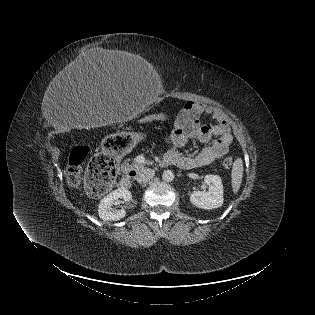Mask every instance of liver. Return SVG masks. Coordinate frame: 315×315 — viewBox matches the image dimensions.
<instances>
[{"label":"liver","instance_id":"obj_1","mask_svg":"<svg viewBox=\"0 0 315 315\" xmlns=\"http://www.w3.org/2000/svg\"><path fill=\"white\" fill-rule=\"evenodd\" d=\"M134 60V55L125 51L100 49L87 57L79 60L74 66L62 75L67 78L77 77L79 79L93 76H116L125 73ZM109 122H112L113 115H110ZM120 120V117H119ZM67 175V173H65Z\"/></svg>","mask_w":315,"mask_h":315}]
</instances>
